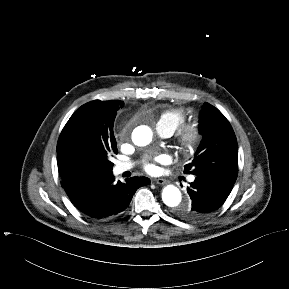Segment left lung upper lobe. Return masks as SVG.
<instances>
[{"label": "left lung upper lobe", "mask_w": 289, "mask_h": 289, "mask_svg": "<svg viewBox=\"0 0 289 289\" xmlns=\"http://www.w3.org/2000/svg\"><path fill=\"white\" fill-rule=\"evenodd\" d=\"M199 128L203 139L193 161L184 166L185 172L235 182L238 174V146L230 123L218 109L204 103Z\"/></svg>", "instance_id": "obj_1"}]
</instances>
